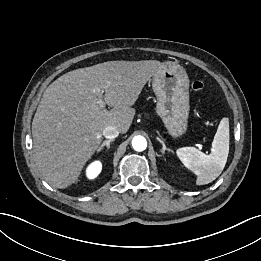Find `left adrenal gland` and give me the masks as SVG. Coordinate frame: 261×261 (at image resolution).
Masks as SVG:
<instances>
[{
  "instance_id": "a2214340",
  "label": "left adrenal gland",
  "mask_w": 261,
  "mask_h": 261,
  "mask_svg": "<svg viewBox=\"0 0 261 261\" xmlns=\"http://www.w3.org/2000/svg\"><path fill=\"white\" fill-rule=\"evenodd\" d=\"M157 140L162 144V150H161V152H162L163 154L165 153V151H168V152H172V153H173V151H172L171 149H169V148L166 147L165 143H164L160 138H157Z\"/></svg>"
}]
</instances>
